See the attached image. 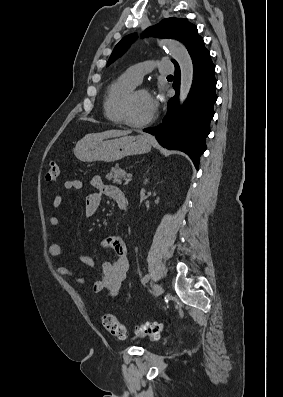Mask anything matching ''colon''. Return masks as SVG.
<instances>
[{"instance_id": "colon-1", "label": "colon", "mask_w": 283, "mask_h": 397, "mask_svg": "<svg viewBox=\"0 0 283 397\" xmlns=\"http://www.w3.org/2000/svg\"><path fill=\"white\" fill-rule=\"evenodd\" d=\"M61 166L57 163H51L48 166L45 178L47 182H54L60 175ZM103 327L116 339L124 340L127 338L125 327L112 314H104L102 316ZM164 331V325L159 322H145L142 323L138 329V335L159 337Z\"/></svg>"}]
</instances>
